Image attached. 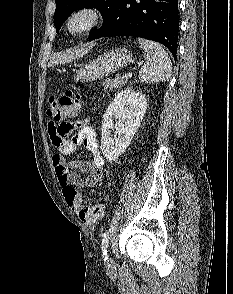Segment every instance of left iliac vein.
<instances>
[{"label":"left iliac vein","instance_id":"left-iliac-vein-1","mask_svg":"<svg viewBox=\"0 0 233 294\" xmlns=\"http://www.w3.org/2000/svg\"><path fill=\"white\" fill-rule=\"evenodd\" d=\"M107 266H111L112 265V261L110 259V257L107 255V260L105 261Z\"/></svg>","mask_w":233,"mask_h":294}]
</instances>
